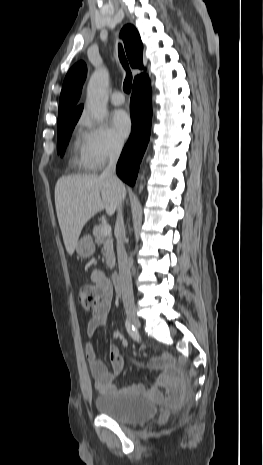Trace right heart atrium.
<instances>
[{
	"mask_svg": "<svg viewBox=\"0 0 263 465\" xmlns=\"http://www.w3.org/2000/svg\"><path fill=\"white\" fill-rule=\"evenodd\" d=\"M83 155L90 169H99L122 150L123 142L107 126L82 120Z\"/></svg>",
	"mask_w": 263,
	"mask_h": 465,
	"instance_id": "d8ad5b80",
	"label": "right heart atrium"
}]
</instances>
